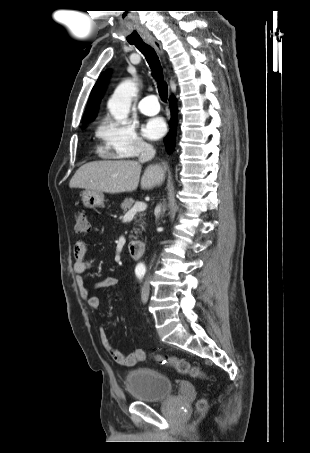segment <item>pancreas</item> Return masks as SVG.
Listing matches in <instances>:
<instances>
[{"mask_svg": "<svg viewBox=\"0 0 310 453\" xmlns=\"http://www.w3.org/2000/svg\"><path fill=\"white\" fill-rule=\"evenodd\" d=\"M135 203V200L133 198H129V199H125L122 203H121V209L126 212L127 210H129L133 204ZM140 219L137 220V222H141L142 221V217L144 216L143 213H141L140 215ZM139 229H137L135 231V233H138Z\"/></svg>", "mask_w": 310, "mask_h": 453, "instance_id": "obj_1", "label": "pancreas"}]
</instances>
